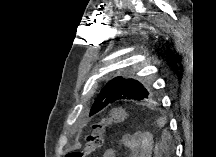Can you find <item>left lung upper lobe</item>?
<instances>
[{
	"instance_id": "1",
	"label": "left lung upper lobe",
	"mask_w": 216,
	"mask_h": 157,
	"mask_svg": "<svg viewBox=\"0 0 216 157\" xmlns=\"http://www.w3.org/2000/svg\"><path fill=\"white\" fill-rule=\"evenodd\" d=\"M117 74H134V69H117ZM153 96L152 89L132 78L116 77L101 90L95 103L105 106L121 100L145 101ZM95 110L91 108L90 113Z\"/></svg>"
}]
</instances>
